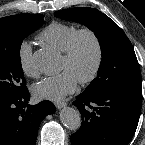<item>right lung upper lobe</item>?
Masks as SVG:
<instances>
[{"label": "right lung upper lobe", "mask_w": 145, "mask_h": 145, "mask_svg": "<svg viewBox=\"0 0 145 145\" xmlns=\"http://www.w3.org/2000/svg\"><path fill=\"white\" fill-rule=\"evenodd\" d=\"M9 17V16H8ZM7 17L0 18V22L5 20Z\"/></svg>", "instance_id": "right-lung-upper-lobe-1"}]
</instances>
